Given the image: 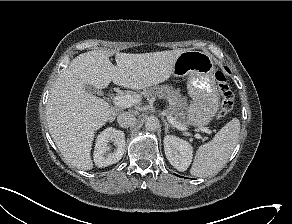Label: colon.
I'll return each mask as SVG.
<instances>
[{
	"label": "colon",
	"instance_id": "obj_1",
	"mask_svg": "<svg viewBox=\"0 0 292 224\" xmlns=\"http://www.w3.org/2000/svg\"><path fill=\"white\" fill-rule=\"evenodd\" d=\"M215 79L221 92V101L218 109V118L225 117L233 107L234 96L230 83L222 71L215 73Z\"/></svg>",
	"mask_w": 292,
	"mask_h": 224
}]
</instances>
